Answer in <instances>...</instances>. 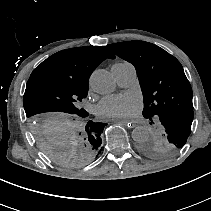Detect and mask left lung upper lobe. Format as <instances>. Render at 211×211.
<instances>
[{
	"mask_svg": "<svg viewBox=\"0 0 211 211\" xmlns=\"http://www.w3.org/2000/svg\"><path fill=\"white\" fill-rule=\"evenodd\" d=\"M117 56L136 68L144 98L143 116L158 131L140 144L147 156L164 158L187 142L193 121V93L180 62L162 48L144 41L109 44Z\"/></svg>",
	"mask_w": 211,
	"mask_h": 211,
	"instance_id": "left-lung-upper-lobe-1",
	"label": "left lung upper lobe"
}]
</instances>
